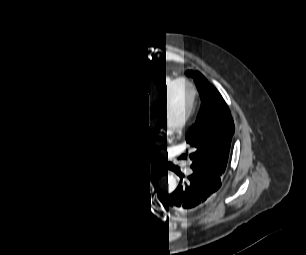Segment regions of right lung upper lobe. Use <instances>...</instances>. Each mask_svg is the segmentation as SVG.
Returning <instances> with one entry per match:
<instances>
[{
	"label": "right lung upper lobe",
	"instance_id": "right-lung-upper-lobe-1",
	"mask_svg": "<svg viewBox=\"0 0 306 255\" xmlns=\"http://www.w3.org/2000/svg\"><path fill=\"white\" fill-rule=\"evenodd\" d=\"M137 71V69H135ZM130 75L122 69L115 70L89 78L71 88L60 105L56 120L57 154L63 173H70L65 161V134L70 121L76 116L103 115L111 120L114 117L115 99L125 83V77ZM104 148V145H103ZM104 150V149H103ZM109 163L102 151L100 162L90 172L108 169ZM78 182L79 178L72 179Z\"/></svg>",
	"mask_w": 306,
	"mask_h": 255
}]
</instances>
